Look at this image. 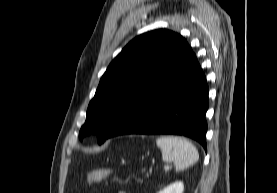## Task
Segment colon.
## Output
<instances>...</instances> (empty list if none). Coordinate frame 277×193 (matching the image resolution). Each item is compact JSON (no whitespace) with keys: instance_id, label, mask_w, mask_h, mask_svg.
I'll return each mask as SVG.
<instances>
[{"instance_id":"1","label":"colon","mask_w":277,"mask_h":193,"mask_svg":"<svg viewBox=\"0 0 277 193\" xmlns=\"http://www.w3.org/2000/svg\"><path fill=\"white\" fill-rule=\"evenodd\" d=\"M111 171L107 169H95L87 173V182H101L109 178Z\"/></svg>"}]
</instances>
